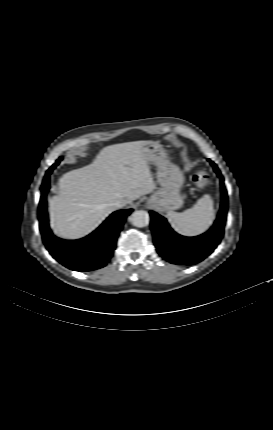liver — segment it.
<instances>
[{
	"label": "liver",
	"mask_w": 273,
	"mask_h": 430,
	"mask_svg": "<svg viewBox=\"0 0 273 430\" xmlns=\"http://www.w3.org/2000/svg\"><path fill=\"white\" fill-rule=\"evenodd\" d=\"M147 141L103 148L95 160L59 179V192L49 199L50 226L63 239H80L96 229L116 209L152 192L153 181L143 146Z\"/></svg>",
	"instance_id": "1"
}]
</instances>
